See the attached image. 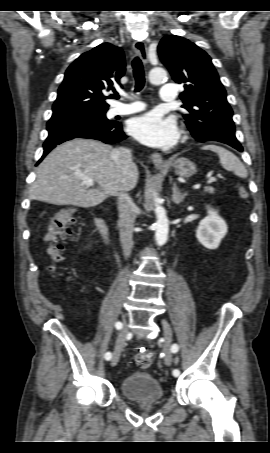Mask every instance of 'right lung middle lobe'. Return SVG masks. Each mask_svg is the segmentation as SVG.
<instances>
[{"label":"right lung middle lobe","instance_id":"dd1d6c3e","mask_svg":"<svg viewBox=\"0 0 270 453\" xmlns=\"http://www.w3.org/2000/svg\"><path fill=\"white\" fill-rule=\"evenodd\" d=\"M106 111L107 110H91V111H84L78 114L72 115L71 117H79L85 118L88 120H92L98 123H108V119L106 118Z\"/></svg>","mask_w":270,"mask_h":453}]
</instances>
